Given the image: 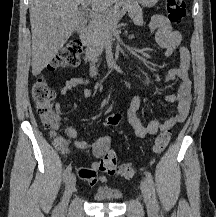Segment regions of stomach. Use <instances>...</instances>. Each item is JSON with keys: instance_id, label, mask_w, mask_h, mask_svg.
Here are the masks:
<instances>
[{"instance_id": "0dacf381", "label": "stomach", "mask_w": 216, "mask_h": 217, "mask_svg": "<svg viewBox=\"0 0 216 217\" xmlns=\"http://www.w3.org/2000/svg\"><path fill=\"white\" fill-rule=\"evenodd\" d=\"M159 0H139L140 4L144 7H153Z\"/></svg>"}]
</instances>
